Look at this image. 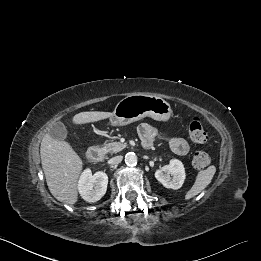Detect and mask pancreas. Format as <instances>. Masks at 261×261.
<instances>
[{
	"mask_svg": "<svg viewBox=\"0 0 261 261\" xmlns=\"http://www.w3.org/2000/svg\"><path fill=\"white\" fill-rule=\"evenodd\" d=\"M124 148H126L125 144H122L120 142H111L103 147V151L105 153L113 154L122 151Z\"/></svg>",
	"mask_w": 261,
	"mask_h": 261,
	"instance_id": "pancreas-1",
	"label": "pancreas"
}]
</instances>
